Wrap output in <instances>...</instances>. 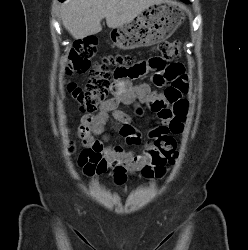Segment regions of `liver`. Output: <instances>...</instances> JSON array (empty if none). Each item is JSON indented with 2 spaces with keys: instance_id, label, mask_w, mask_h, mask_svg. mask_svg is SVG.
Masks as SVG:
<instances>
[{
  "instance_id": "6515ba94",
  "label": "liver",
  "mask_w": 248,
  "mask_h": 250,
  "mask_svg": "<svg viewBox=\"0 0 248 250\" xmlns=\"http://www.w3.org/2000/svg\"><path fill=\"white\" fill-rule=\"evenodd\" d=\"M164 0H66L61 5L62 24L75 38L97 34L106 18L109 28H117L135 19L146 8Z\"/></svg>"
}]
</instances>
